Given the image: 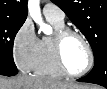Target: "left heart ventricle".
<instances>
[{"label": "left heart ventricle", "instance_id": "b2bd125f", "mask_svg": "<svg viewBox=\"0 0 107 89\" xmlns=\"http://www.w3.org/2000/svg\"><path fill=\"white\" fill-rule=\"evenodd\" d=\"M63 58L68 70L78 73L88 64V52L84 43L76 36H69L63 44Z\"/></svg>", "mask_w": 107, "mask_h": 89}]
</instances>
